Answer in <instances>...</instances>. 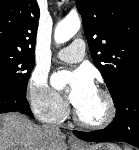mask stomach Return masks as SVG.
<instances>
[{
    "instance_id": "1",
    "label": "stomach",
    "mask_w": 139,
    "mask_h": 150,
    "mask_svg": "<svg viewBox=\"0 0 139 150\" xmlns=\"http://www.w3.org/2000/svg\"><path fill=\"white\" fill-rule=\"evenodd\" d=\"M72 150H120L119 147L110 143H100L85 147L72 146Z\"/></svg>"
}]
</instances>
